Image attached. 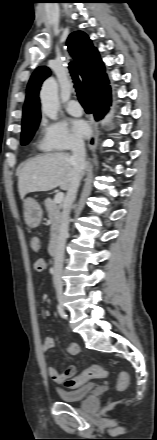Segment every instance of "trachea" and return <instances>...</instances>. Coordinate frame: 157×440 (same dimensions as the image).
Listing matches in <instances>:
<instances>
[{"label":"trachea","mask_w":157,"mask_h":440,"mask_svg":"<svg viewBox=\"0 0 157 440\" xmlns=\"http://www.w3.org/2000/svg\"><path fill=\"white\" fill-rule=\"evenodd\" d=\"M69 69H70L71 76L73 78L74 87L76 89L78 99H79L80 103L82 104V106L84 107V109L86 110V112L91 113L92 112V104H91L89 95H88L84 85L79 80L75 66L72 62L69 64Z\"/></svg>","instance_id":"3493384b"}]
</instances>
